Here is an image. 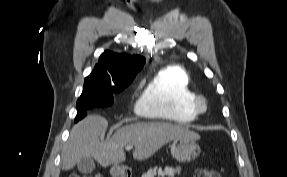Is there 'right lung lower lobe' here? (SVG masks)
<instances>
[{
    "mask_svg": "<svg viewBox=\"0 0 287 177\" xmlns=\"http://www.w3.org/2000/svg\"><path fill=\"white\" fill-rule=\"evenodd\" d=\"M79 114H81V115H83L85 117L86 114H87V110L86 111H81Z\"/></svg>",
    "mask_w": 287,
    "mask_h": 177,
    "instance_id": "right-lung-lower-lobe-1",
    "label": "right lung lower lobe"
}]
</instances>
